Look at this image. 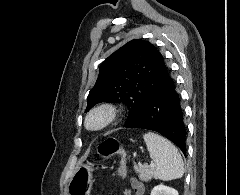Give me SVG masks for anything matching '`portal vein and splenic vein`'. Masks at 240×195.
Segmentation results:
<instances>
[{
    "label": "portal vein and splenic vein",
    "mask_w": 240,
    "mask_h": 195,
    "mask_svg": "<svg viewBox=\"0 0 240 195\" xmlns=\"http://www.w3.org/2000/svg\"><path fill=\"white\" fill-rule=\"evenodd\" d=\"M152 165H154L153 161H151Z\"/></svg>",
    "instance_id": "obj_1"
}]
</instances>
